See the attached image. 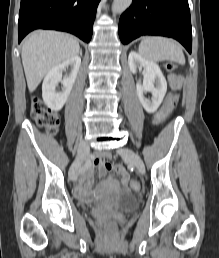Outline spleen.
<instances>
[{
	"label": "spleen",
	"instance_id": "spleen-1",
	"mask_svg": "<svg viewBox=\"0 0 219 258\" xmlns=\"http://www.w3.org/2000/svg\"><path fill=\"white\" fill-rule=\"evenodd\" d=\"M139 54L149 61L170 60L185 64L181 46L174 40L165 37H145L139 44Z\"/></svg>",
	"mask_w": 219,
	"mask_h": 258
}]
</instances>
